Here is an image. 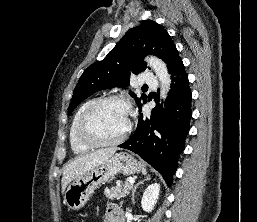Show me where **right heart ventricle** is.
Returning <instances> with one entry per match:
<instances>
[{
  "label": "right heart ventricle",
  "instance_id": "e07e8e85",
  "mask_svg": "<svg viewBox=\"0 0 257 222\" xmlns=\"http://www.w3.org/2000/svg\"><path fill=\"white\" fill-rule=\"evenodd\" d=\"M94 102V100H89L85 102L76 112V114L73 117V120L71 122L70 128H69V142L70 147L74 154H83L88 152L92 147L82 143L78 136H77V126L79 119L83 112L87 109V107Z\"/></svg>",
  "mask_w": 257,
  "mask_h": 222
}]
</instances>
